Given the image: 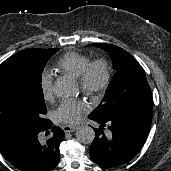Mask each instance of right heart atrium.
Listing matches in <instances>:
<instances>
[{"mask_svg": "<svg viewBox=\"0 0 171 171\" xmlns=\"http://www.w3.org/2000/svg\"><path fill=\"white\" fill-rule=\"evenodd\" d=\"M40 90L43 98L50 101L53 98V78L48 71H44L40 77Z\"/></svg>", "mask_w": 171, "mask_h": 171, "instance_id": "1", "label": "right heart atrium"}]
</instances>
